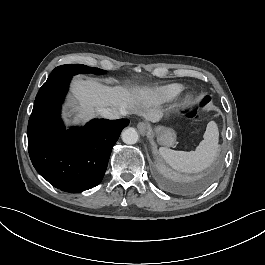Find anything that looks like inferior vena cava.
I'll return each mask as SVG.
<instances>
[{
	"instance_id": "inferior-vena-cava-1",
	"label": "inferior vena cava",
	"mask_w": 265,
	"mask_h": 265,
	"mask_svg": "<svg viewBox=\"0 0 265 265\" xmlns=\"http://www.w3.org/2000/svg\"><path fill=\"white\" fill-rule=\"evenodd\" d=\"M99 112H100V115L102 117L107 118V119H119L120 115H126L127 114L126 110L119 112L116 109H110V108L100 109Z\"/></svg>"
}]
</instances>
